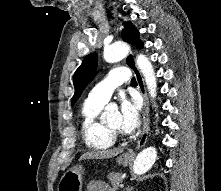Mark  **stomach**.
<instances>
[{
	"instance_id": "stomach-1",
	"label": "stomach",
	"mask_w": 221,
	"mask_h": 191,
	"mask_svg": "<svg viewBox=\"0 0 221 191\" xmlns=\"http://www.w3.org/2000/svg\"><path fill=\"white\" fill-rule=\"evenodd\" d=\"M132 157L122 154L117 158L120 165L127 166L132 162ZM84 169L82 165H76L70 168L61 177L58 183L57 191H82Z\"/></svg>"
}]
</instances>
